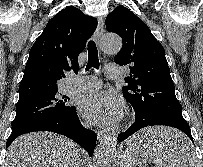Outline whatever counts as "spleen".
Instances as JSON below:
<instances>
[{
  "label": "spleen",
  "mask_w": 203,
  "mask_h": 167,
  "mask_svg": "<svg viewBox=\"0 0 203 167\" xmlns=\"http://www.w3.org/2000/svg\"><path fill=\"white\" fill-rule=\"evenodd\" d=\"M156 147L135 149L137 156L143 160L156 163L154 167H196V158L191 145L184 144L186 138L176 135L173 139L161 132L153 136ZM182 143V145H181ZM184 144V145H183Z\"/></svg>",
  "instance_id": "3e777b00"
}]
</instances>
